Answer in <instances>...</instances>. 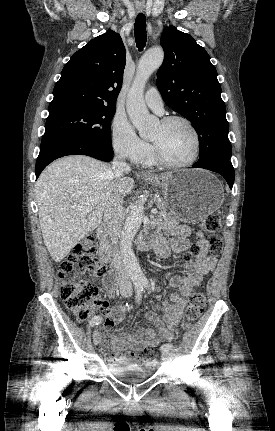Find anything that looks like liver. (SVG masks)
Listing matches in <instances>:
<instances>
[{"mask_svg": "<svg viewBox=\"0 0 275 431\" xmlns=\"http://www.w3.org/2000/svg\"><path fill=\"white\" fill-rule=\"evenodd\" d=\"M134 187L129 176L116 177L106 163L72 155L49 165L36 182V200L44 244L55 262L99 226L111 197L127 196ZM89 206L91 213L76 207Z\"/></svg>", "mask_w": 275, "mask_h": 431, "instance_id": "6515ba94", "label": "liver"}]
</instances>
